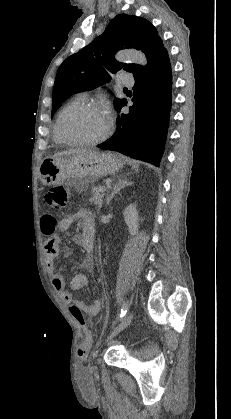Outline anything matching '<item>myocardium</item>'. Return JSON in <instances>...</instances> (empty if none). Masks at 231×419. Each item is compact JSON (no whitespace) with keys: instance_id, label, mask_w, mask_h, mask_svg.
Wrapping results in <instances>:
<instances>
[{"instance_id":"myocardium-1","label":"myocardium","mask_w":231,"mask_h":419,"mask_svg":"<svg viewBox=\"0 0 231 419\" xmlns=\"http://www.w3.org/2000/svg\"><path fill=\"white\" fill-rule=\"evenodd\" d=\"M81 110H100L103 111L106 115V110L104 109V107H102L101 105L97 104V103H90V102H84V103H80L77 104L71 108H69L61 117L60 121H59V130H60V134L62 135V137L67 140L69 143L71 144H76V145H96L99 144L101 142H103L104 140H106L112 130V122L111 119L108 117V126L105 130V132L100 135L97 138L94 139H80V138H76L71 136L65 129V122L67 120V118L69 116H71L72 114L81 111Z\"/></svg>"}]
</instances>
